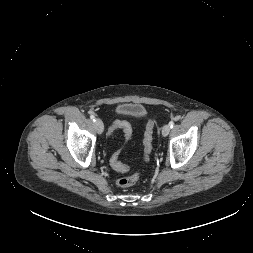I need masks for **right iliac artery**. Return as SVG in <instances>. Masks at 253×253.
Instances as JSON below:
<instances>
[{"label":"right iliac artery","mask_w":253,"mask_h":253,"mask_svg":"<svg viewBox=\"0 0 253 253\" xmlns=\"http://www.w3.org/2000/svg\"><path fill=\"white\" fill-rule=\"evenodd\" d=\"M90 118L95 121V116L94 115H90Z\"/></svg>","instance_id":"obj_1"}]
</instances>
